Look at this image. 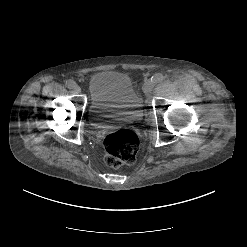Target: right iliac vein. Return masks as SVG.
Instances as JSON below:
<instances>
[{"mask_svg": "<svg viewBox=\"0 0 247 247\" xmlns=\"http://www.w3.org/2000/svg\"><path fill=\"white\" fill-rule=\"evenodd\" d=\"M73 90H74V92L77 93V94L81 93V88H80L78 85H76V86L73 88Z\"/></svg>", "mask_w": 247, "mask_h": 247, "instance_id": "63e3f726", "label": "right iliac vein"}]
</instances>
